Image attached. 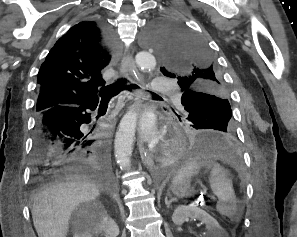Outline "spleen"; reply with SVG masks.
I'll use <instances>...</instances> for the list:
<instances>
[{
    "label": "spleen",
    "mask_w": 297,
    "mask_h": 237,
    "mask_svg": "<svg viewBox=\"0 0 297 237\" xmlns=\"http://www.w3.org/2000/svg\"><path fill=\"white\" fill-rule=\"evenodd\" d=\"M202 167L210 170V187L212 192L218 197L217 211L224 216L232 218L237 211L235 192L226 171L217 162L210 158L192 159L177 172L173 182L178 183L184 179L190 180L192 176L199 173Z\"/></svg>",
    "instance_id": "spleen-1"
}]
</instances>
